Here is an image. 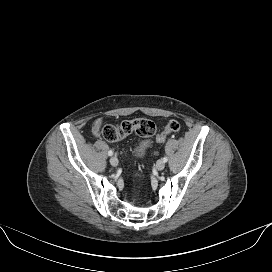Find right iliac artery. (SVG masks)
I'll return each instance as SVG.
<instances>
[{
    "mask_svg": "<svg viewBox=\"0 0 272 272\" xmlns=\"http://www.w3.org/2000/svg\"><path fill=\"white\" fill-rule=\"evenodd\" d=\"M108 155L112 156L113 155V151L112 150L108 151Z\"/></svg>",
    "mask_w": 272,
    "mask_h": 272,
    "instance_id": "obj_1",
    "label": "right iliac artery"
}]
</instances>
